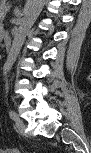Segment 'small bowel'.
<instances>
[{
	"instance_id": "obj_1",
	"label": "small bowel",
	"mask_w": 91,
	"mask_h": 153,
	"mask_svg": "<svg viewBox=\"0 0 91 153\" xmlns=\"http://www.w3.org/2000/svg\"><path fill=\"white\" fill-rule=\"evenodd\" d=\"M4 153H18L17 148H9L3 151Z\"/></svg>"
}]
</instances>
